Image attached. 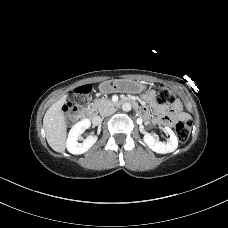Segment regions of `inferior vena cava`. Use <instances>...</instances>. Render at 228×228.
I'll return each mask as SVG.
<instances>
[{"label": "inferior vena cava", "instance_id": "inferior-vena-cava-1", "mask_svg": "<svg viewBox=\"0 0 228 228\" xmlns=\"http://www.w3.org/2000/svg\"><path fill=\"white\" fill-rule=\"evenodd\" d=\"M116 112L114 107H108L101 112V116H109Z\"/></svg>", "mask_w": 228, "mask_h": 228}]
</instances>
